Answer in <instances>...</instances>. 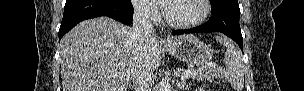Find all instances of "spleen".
<instances>
[{
    "label": "spleen",
    "mask_w": 304,
    "mask_h": 91,
    "mask_svg": "<svg viewBox=\"0 0 304 91\" xmlns=\"http://www.w3.org/2000/svg\"><path fill=\"white\" fill-rule=\"evenodd\" d=\"M216 40L227 48L224 56L226 70L222 72V75L230 82L234 90L242 91L244 88V64L242 53L228 38L216 36Z\"/></svg>",
    "instance_id": "1"
}]
</instances>
